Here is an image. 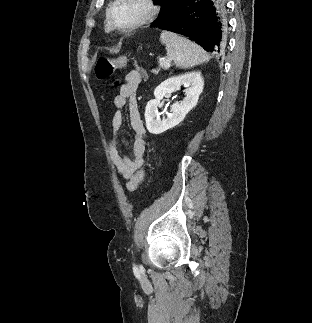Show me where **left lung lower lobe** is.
<instances>
[{
    "mask_svg": "<svg viewBox=\"0 0 312 323\" xmlns=\"http://www.w3.org/2000/svg\"><path fill=\"white\" fill-rule=\"evenodd\" d=\"M224 0H177L170 17L158 26L201 45L207 52L223 55L228 46Z\"/></svg>",
    "mask_w": 312,
    "mask_h": 323,
    "instance_id": "0a47b994",
    "label": "left lung lower lobe"
}]
</instances>
